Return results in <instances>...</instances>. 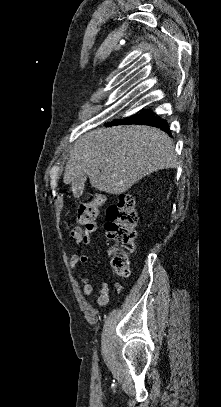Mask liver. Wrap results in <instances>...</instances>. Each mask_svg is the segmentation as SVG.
<instances>
[{
    "label": "liver",
    "mask_w": 221,
    "mask_h": 407,
    "mask_svg": "<svg viewBox=\"0 0 221 407\" xmlns=\"http://www.w3.org/2000/svg\"><path fill=\"white\" fill-rule=\"evenodd\" d=\"M178 166L172 139L145 125L98 128L82 135L70 150L63 182L82 174L95 189L113 195L126 192L143 177Z\"/></svg>",
    "instance_id": "1"
}]
</instances>
